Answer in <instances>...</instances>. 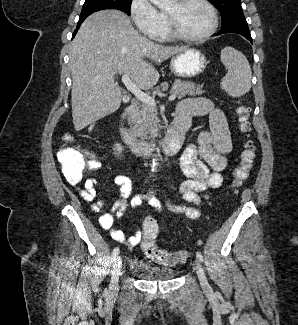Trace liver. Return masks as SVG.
Returning a JSON list of instances; mask_svg holds the SVG:
<instances>
[{
  "label": "liver",
  "instance_id": "obj_1",
  "mask_svg": "<svg viewBox=\"0 0 298 325\" xmlns=\"http://www.w3.org/2000/svg\"><path fill=\"white\" fill-rule=\"evenodd\" d=\"M188 46H165L141 36L121 10H98L82 22L70 46L72 116L75 130L118 110L116 74H129L139 88H152L155 66ZM148 58V60H145Z\"/></svg>",
  "mask_w": 298,
  "mask_h": 325
}]
</instances>
